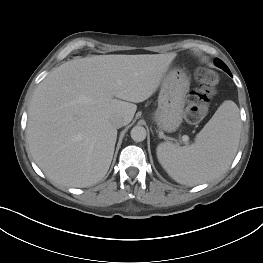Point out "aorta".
Returning a JSON list of instances; mask_svg holds the SVG:
<instances>
[{"mask_svg":"<svg viewBox=\"0 0 263 263\" xmlns=\"http://www.w3.org/2000/svg\"><path fill=\"white\" fill-rule=\"evenodd\" d=\"M131 138L135 142H141L146 138V129L143 126H134L130 132Z\"/></svg>","mask_w":263,"mask_h":263,"instance_id":"obj_1","label":"aorta"}]
</instances>
